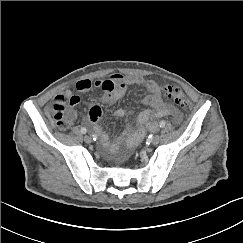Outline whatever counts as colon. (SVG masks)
<instances>
[{
  "instance_id": "colon-1",
  "label": "colon",
  "mask_w": 243,
  "mask_h": 243,
  "mask_svg": "<svg viewBox=\"0 0 243 243\" xmlns=\"http://www.w3.org/2000/svg\"><path fill=\"white\" fill-rule=\"evenodd\" d=\"M164 96L166 99L172 101L178 106L187 107L189 102L181 90L180 87L176 85H167L164 87ZM52 116L56 121L58 128L64 130L70 125L69 119L65 114V107L63 105H55L51 112ZM125 146V143L123 144Z\"/></svg>"
}]
</instances>
